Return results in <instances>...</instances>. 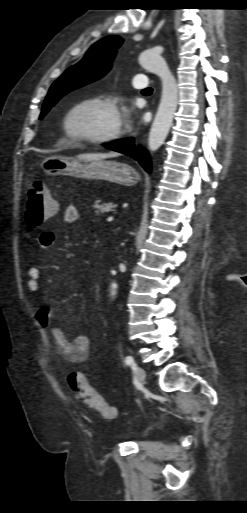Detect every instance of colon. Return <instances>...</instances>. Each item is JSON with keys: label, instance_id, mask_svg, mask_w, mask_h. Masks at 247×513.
Masks as SVG:
<instances>
[{"label": "colon", "instance_id": "5ec220e1", "mask_svg": "<svg viewBox=\"0 0 247 513\" xmlns=\"http://www.w3.org/2000/svg\"><path fill=\"white\" fill-rule=\"evenodd\" d=\"M59 210L58 202L42 181H35L29 188L25 202V220L30 229L42 225L46 220L54 217ZM72 391L105 419H114L116 410L97 390L90 385L86 376L80 372H73L68 377Z\"/></svg>", "mask_w": 247, "mask_h": 513}]
</instances>
